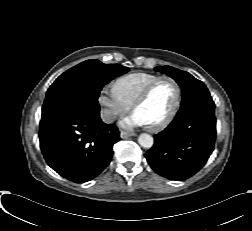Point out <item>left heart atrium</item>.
<instances>
[{
	"label": "left heart atrium",
	"instance_id": "obj_1",
	"mask_svg": "<svg viewBox=\"0 0 252 231\" xmlns=\"http://www.w3.org/2000/svg\"><path fill=\"white\" fill-rule=\"evenodd\" d=\"M121 125L125 128H133V127H144L147 126L144 120L137 114L133 113L130 116L124 118L121 121Z\"/></svg>",
	"mask_w": 252,
	"mask_h": 231
}]
</instances>
